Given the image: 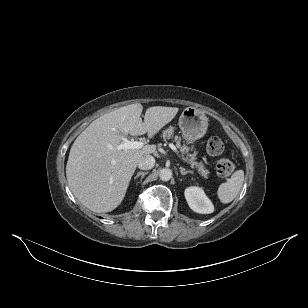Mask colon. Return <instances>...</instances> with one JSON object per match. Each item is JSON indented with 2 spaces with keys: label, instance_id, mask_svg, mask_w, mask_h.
<instances>
[{
  "label": "colon",
  "instance_id": "obj_1",
  "mask_svg": "<svg viewBox=\"0 0 308 308\" xmlns=\"http://www.w3.org/2000/svg\"><path fill=\"white\" fill-rule=\"evenodd\" d=\"M225 146L219 137H211L207 142V151L211 155H221ZM234 170V163L228 157L219 159L216 165V173L221 178L228 177Z\"/></svg>",
  "mask_w": 308,
  "mask_h": 308
}]
</instances>
